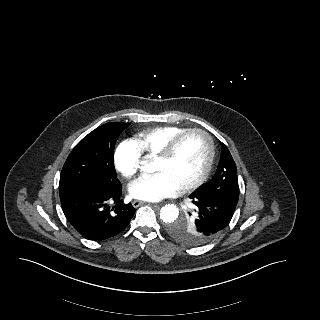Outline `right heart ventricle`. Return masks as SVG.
Instances as JSON below:
<instances>
[{"label": "right heart ventricle", "mask_w": 320, "mask_h": 320, "mask_svg": "<svg viewBox=\"0 0 320 320\" xmlns=\"http://www.w3.org/2000/svg\"><path fill=\"white\" fill-rule=\"evenodd\" d=\"M186 129L175 125L158 126L138 133L133 141L141 154L155 158L175 136Z\"/></svg>", "instance_id": "1"}]
</instances>
